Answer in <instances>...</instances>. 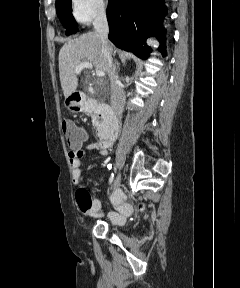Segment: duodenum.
Instances as JSON below:
<instances>
[{"instance_id":"410a0bca","label":"duodenum","mask_w":240,"mask_h":288,"mask_svg":"<svg viewBox=\"0 0 240 288\" xmlns=\"http://www.w3.org/2000/svg\"><path fill=\"white\" fill-rule=\"evenodd\" d=\"M73 99L77 104V110L94 114L100 131V143L105 147L111 146L118 133L117 120L113 111L99 107L95 100L80 94L75 95Z\"/></svg>"}]
</instances>
